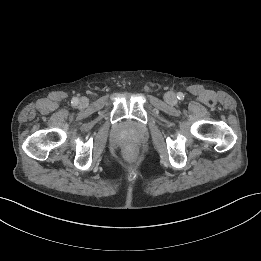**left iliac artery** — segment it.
I'll use <instances>...</instances> for the list:
<instances>
[{"label": "left iliac artery", "instance_id": "obj_1", "mask_svg": "<svg viewBox=\"0 0 261 261\" xmlns=\"http://www.w3.org/2000/svg\"><path fill=\"white\" fill-rule=\"evenodd\" d=\"M177 98L182 100L184 98L183 93H178Z\"/></svg>", "mask_w": 261, "mask_h": 261}]
</instances>
